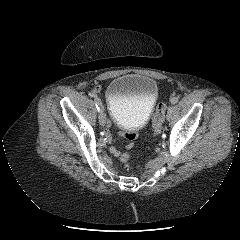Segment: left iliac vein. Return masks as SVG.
Here are the masks:
<instances>
[{
	"label": "left iliac vein",
	"mask_w": 240,
	"mask_h": 240,
	"mask_svg": "<svg viewBox=\"0 0 240 240\" xmlns=\"http://www.w3.org/2000/svg\"><path fill=\"white\" fill-rule=\"evenodd\" d=\"M172 114H173V106L170 105L168 107V110H167V114H166V119L169 121L172 117Z\"/></svg>",
	"instance_id": "4c4485c4"
}]
</instances>
